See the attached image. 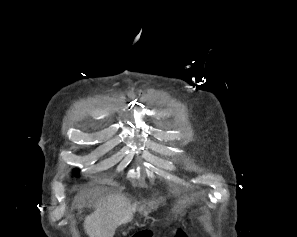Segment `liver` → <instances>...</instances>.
I'll list each match as a JSON object with an SVG mask.
<instances>
[{
	"label": "liver",
	"instance_id": "6515ba94",
	"mask_svg": "<svg viewBox=\"0 0 297 237\" xmlns=\"http://www.w3.org/2000/svg\"><path fill=\"white\" fill-rule=\"evenodd\" d=\"M135 212L136 205L123 194L108 195L85 217V232L89 237H113L118 226L132 221Z\"/></svg>",
	"mask_w": 297,
	"mask_h": 237
}]
</instances>
